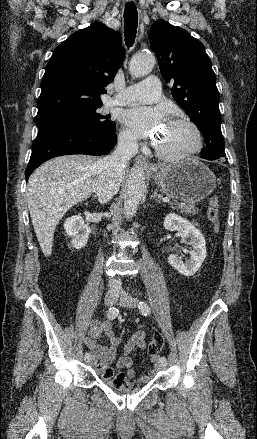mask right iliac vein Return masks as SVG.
I'll use <instances>...</instances> for the list:
<instances>
[{
	"instance_id": "obj_1",
	"label": "right iliac vein",
	"mask_w": 257,
	"mask_h": 439,
	"mask_svg": "<svg viewBox=\"0 0 257 439\" xmlns=\"http://www.w3.org/2000/svg\"><path fill=\"white\" fill-rule=\"evenodd\" d=\"M118 297H119L118 292L108 291L105 294V297H104V304L106 306H113L116 303ZM86 361H87V363H89L91 365H94L93 359H89V360H86Z\"/></svg>"
}]
</instances>
